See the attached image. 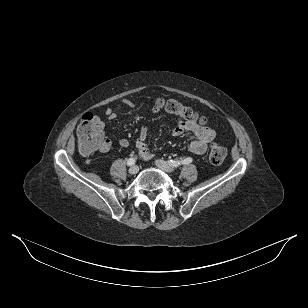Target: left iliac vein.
Wrapping results in <instances>:
<instances>
[{"label": "left iliac vein", "mask_w": 308, "mask_h": 308, "mask_svg": "<svg viewBox=\"0 0 308 308\" xmlns=\"http://www.w3.org/2000/svg\"><path fill=\"white\" fill-rule=\"evenodd\" d=\"M155 165L165 172H173L175 170L171 164L163 160H156Z\"/></svg>", "instance_id": "1"}]
</instances>
